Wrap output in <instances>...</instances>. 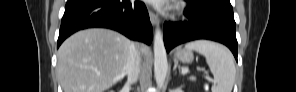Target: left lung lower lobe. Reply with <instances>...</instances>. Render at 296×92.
<instances>
[{"mask_svg":"<svg viewBox=\"0 0 296 92\" xmlns=\"http://www.w3.org/2000/svg\"><path fill=\"white\" fill-rule=\"evenodd\" d=\"M189 6L183 22H166L163 28L167 52L173 47L196 39H209L225 44L237 60L236 24L230 1L186 0Z\"/></svg>","mask_w":296,"mask_h":92,"instance_id":"left-lung-lower-lobe-1","label":"left lung lower lobe"}]
</instances>
